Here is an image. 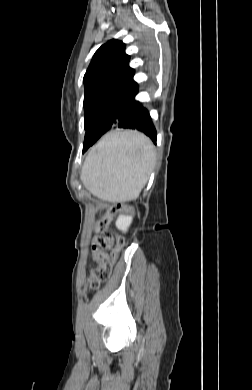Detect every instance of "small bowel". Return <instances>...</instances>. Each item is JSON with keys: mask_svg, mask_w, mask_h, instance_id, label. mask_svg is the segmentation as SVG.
Wrapping results in <instances>:
<instances>
[{"mask_svg": "<svg viewBox=\"0 0 252 390\" xmlns=\"http://www.w3.org/2000/svg\"><path fill=\"white\" fill-rule=\"evenodd\" d=\"M93 258H94L95 260H97L95 256H94Z\"/></svg>", "mask_w": 252, "mask_h": 390, "instance_id": "obj_1", "label": "small bowel"}]
</instances>
